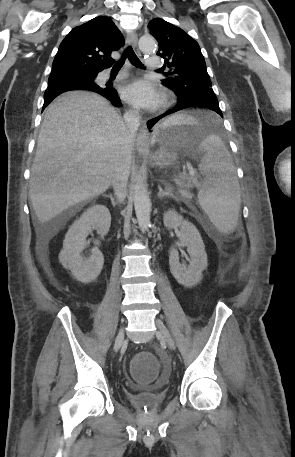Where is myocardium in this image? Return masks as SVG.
<instances>
[{
	"label": "myocardium",
	"instance_id": "f54148a6",
	"mask_svg": "<svg viewBox=\"0 0 295 457\" xmlns=\"http://www.w3.org/2000/svg\"><path fill=\"white\" fill-rule=\"evenodd\" d=\"M169 100H170V97L168 95H166L163 104L167 105L169 103Z\"/></svg>",
	"mask_w": 295,
	"mask_h": 457
}]
</instances>
